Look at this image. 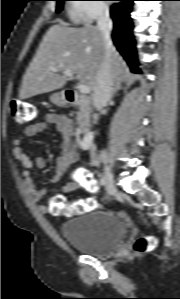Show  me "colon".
I'll list each match as a JSON object with an SVG mask.
<instances>
[{
	"label": "colon",
	"mask_w": 180,
	"mask_h": 299,
	"mask_svg": "<svg viewBox=\"0 0 180 299\" xmlns=\"http://www.w3.org/2000/svg\"><path fill=\"white\" fill-rule=\"evenodd\" d=\"M9 116L13 123L17 125H25L34 121L38 116V110L35 105L30 102L13 99L9 103ZM83 187L89 191L96 190V181L89 175L82 177ZM95 202L92 199L77 200L73 203H67L62 197L55 196L49 202V212L53 215L62 214H83L95 208ZM155 245V240L151 236L139 237L134 245L133 251L142 254L150 251Z\"/></svg>",
	"instance_id": "colon-1"
}]
</instances>
